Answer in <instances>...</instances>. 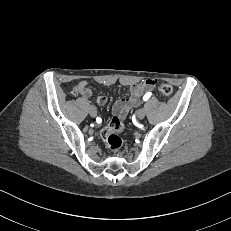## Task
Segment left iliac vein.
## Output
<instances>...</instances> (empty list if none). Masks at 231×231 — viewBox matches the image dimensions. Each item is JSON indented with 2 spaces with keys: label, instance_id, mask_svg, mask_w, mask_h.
Returning a JSON list of instances; mask_svg holds the SVG:
<instances>
[{
  "label": "left iliac vein",
  "instance_id": "4c4485c4",
  "mask_svg": "<svg viewBox=\"0 0 231 231\" xmlns=\"http://www.w3.org/2000/svg\"><path fill=\"white\" fill-rule=\"evenodd\" d=\"M144 117H145V110L144 109L138 110V112H137V118L139 120H142V119H144Z\"/></svg>",
  "mask_w": 231,
  "mask_h": 231
}]
</instances>
